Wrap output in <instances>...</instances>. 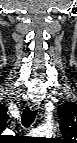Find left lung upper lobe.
Listing matches in <instances>:
<instances>
[{
    "mask_svg": "<svg viewBox=\"0 0 77 143\" xmlns=\"http://www.w3.org/2000/svg\"><path fill=\"white\" fill-rule=\"evenodd\" d=\"M60 119V130L66 143H73L71 139L77 138V105L64 103L57 107Z\"/></svg>",
    "mask_w": 77,
    "mask_h": 143,
    "instance_id": "1",
    "label": "left lung upper lobe"
}]
</instances>
